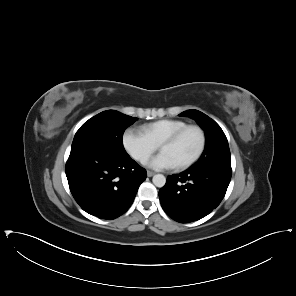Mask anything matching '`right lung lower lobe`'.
<instances>
[{
    "instance_id": "obj_1",
    "label": "right lung lower lobe",
    "mask_w": 296,
    "mask_h": 296,
    "mask_svg": "<svg viewBox=\"0 0 296 296\" xmlns=\"http://www.w3.org/2000/svg\"><path fill=\"white\" fill-rule=\"evenodd\" d=\"M66 176L73 197L84 211L111 220L128 210L147 173L128 154L78 149L70 153Z\"/></svg>"
}]
</instances>
